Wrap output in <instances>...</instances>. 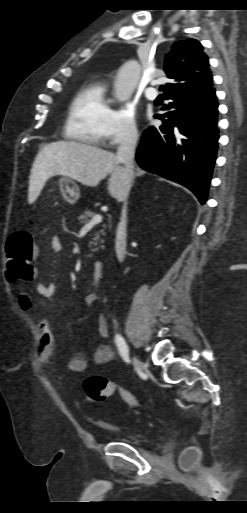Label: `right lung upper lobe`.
Wrapping results in <instances>:
<instances>
[{
	"instance_id": "1",
	"label": "right lung upper lobe",
	"mask_w": 247,
	"mask_h": 513,
	"mask_svg": "<svg viewBox=\"0 0 247 513\" xmlns=\"http://www.w3.org/2000/svg\"><path fill=\"white\" fill-rule=\"evenodd\" d=\"M165 73L173 83L166 85L164 95L197 94L213 87L208 57L195 39L173 44L165 58Z\"/></svg>"
}]
</instances>
